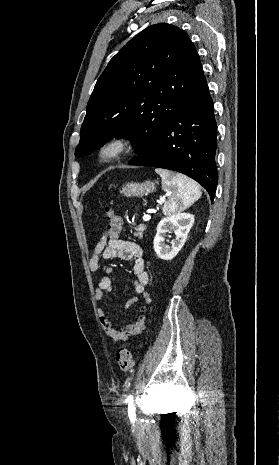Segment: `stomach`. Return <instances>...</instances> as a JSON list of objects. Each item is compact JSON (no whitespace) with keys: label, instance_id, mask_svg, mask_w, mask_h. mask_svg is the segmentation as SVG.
Wrapping results in <instances>:
<instances>
[{"label":"stomach","instance_id":"0dacf381","mask_svg":"<svg viewBox=\"0 0 279 465\" xmlns=\"http://www.w3.org/2000/svg\"><path fill=\"white\" fill-rule=\"evenodd\" d=\"M156 189L155 183L152 181H145L143 183H126L123 187L121 192L125 196H138L142 197L148 195L149 193L154 192Z\"/></svg>","mask_w":279,"mask_h":465}]
</instances>
